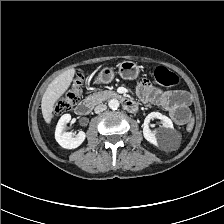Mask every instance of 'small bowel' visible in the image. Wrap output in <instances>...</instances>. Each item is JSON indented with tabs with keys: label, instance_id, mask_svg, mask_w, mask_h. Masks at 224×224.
<instances>
[{
	"label": "small bowel",
	"instance_id": "obj_1",
	"mask_svg": "<svg viewBox=\"0 0 224 224\" xmlns=\"http://www.w3.org/2000/svg\"><path fill=\"white\" fill-rule=\"evenodd\" d=\"M137 94L143 102L165 109L176 123L183 124L187 121L186 118H179V115L187 110L191 102L188 92L163 90L146 81H141L137 86Z\"/></svg>",
	"mask_w": 224,
	"mask_h": 224
}]
</instances>
